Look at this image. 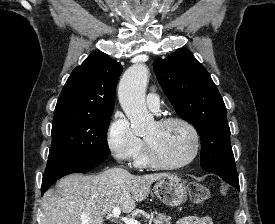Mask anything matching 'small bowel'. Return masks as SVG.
<instances>
[{
  "mask_svg": "<svg viewBox=\"0 0 275 224\" xmlns=\"http://www.w3.org/2000/svg\"><path fill=\"white\" fill-rule=\"evenodd\" d=\"M175 224H213V221L208 216H187L178 219Z\"/></svg>",
  "mask_w": 275,
  "mask_h": 224,
  "instance_id": "c3829d8e",
  "label": "small bowel"
}]
</instances>
